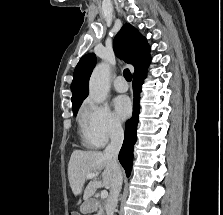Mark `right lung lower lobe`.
Returning <instances> with one entry per match:
<instances>
[{
	"label": "right lung lower lobe",
	"mask_w": 223,
	"mask_h": 215,
	"mask_svg": "<svg viewBox=\"0 0 223 215\" xmlns=\"http://www.w3.org/2000/svg\"><path fill=\"white\" fill-rule=\"evenodd\" d=\"M146 76V71L133 75V89H134V104H133V116L126 122L125 126V138L122 148L119 153V161L126 171L127 176L131 173L132 160H133V146L136 142V131L139 115V92L143 80Z\"/></svg>",
	"instance_id": "obj_1"
}]
</instances>
